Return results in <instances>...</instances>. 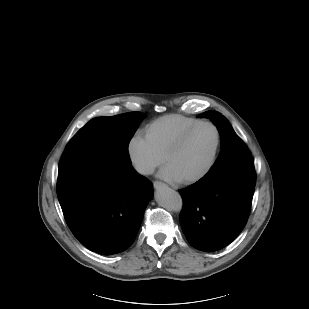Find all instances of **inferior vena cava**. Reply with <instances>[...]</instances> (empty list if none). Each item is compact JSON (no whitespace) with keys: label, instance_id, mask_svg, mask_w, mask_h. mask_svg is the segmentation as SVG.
I'll use <instances>...</instances> for the list:
<instances>
[{"label":"inferior vena cava","instance_id":"602c4592","mask_svg":"<svg viewBox=\"0 0 309 309\" xmlns=\"http://www.w3.org/2000/svg\"><path fill=\"white\" fill-rule=\"evenodd\" d=\"M136 170L140 174H152L154 172V168L148 165H137Z\"/></svg>","mask_w":309,"mask_h":309}]
</instances>
